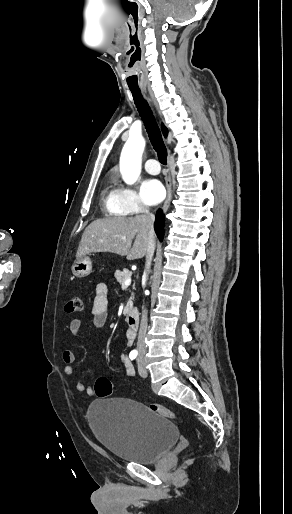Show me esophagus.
I'll use <instances>...</instances> for the list:
<instances>
[{"instance_id":"obj_1","label":"esophagus","mask_w":292,"mask_h":514,"mask_svg":"<svg viewBox=\"0 0 292 514\" xmlns=\"http://www.w3.org/2000/svg\"><path fill=\"white\" fill-rule=\"evenodd\" d=\"M143 91L145 92L146 90H143ZM166 188H167V198L163 204V210L168 209L171 198H172V183H171L170 177H167V179H166Z\"/></svg>"}]
</instances>
